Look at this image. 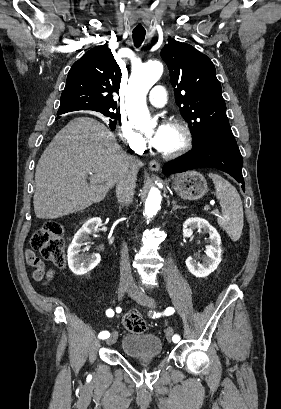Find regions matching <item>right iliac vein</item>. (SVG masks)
<instances>
[{
  "label": "right iliac vein",
  "mask_w": 281,
  "mask_h": 409,
  "mask_svg": "<svg viewBox=\"0 0 281 409\" xmlns=\"http://www.w3.org/2000/svg\"><path fill=\"white\" fill-rule=\"evenodd\" d=\"M129 289V284L125 281H121L118 287V299H122L125 292ZM118 338V334L116 332L112 333L111 337L106 340L107 345L114 344Z\"/></svg>",
  "instance_id": "right-iliac-vein-1"
}]
</instances>
